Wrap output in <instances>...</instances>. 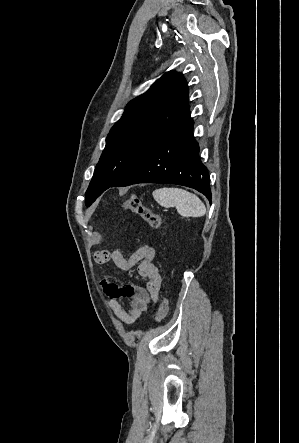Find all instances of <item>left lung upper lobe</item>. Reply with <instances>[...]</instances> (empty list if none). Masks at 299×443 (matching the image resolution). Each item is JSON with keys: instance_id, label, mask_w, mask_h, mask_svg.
Returning <instances> with one entry per match:
<instances>
[{"instance_id": "1", "label": "left lung upper lobe", "mask_w": 299, "mask_h": 443, "mask_svg": "<svg viewBox=\"0 0 299 443\" xmlns=\"http://www.w3.org/2000/svg\"><path fill=\"white\" fill-rule=\"evenodd\" d=\"M190 115L188 86L180 73L166 72L133 99L112 127L86 191L89 206L151 147Z\"/></svg>"}]
</instances>
